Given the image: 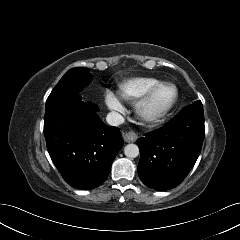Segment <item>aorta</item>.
<instances>
[{
	"instance_id": "762f6f07",
	"label": "aorta",
	"mask_w": 240,
	"mask_h": 240,
	"mask_svg": "<svg viewBox=\"0 0 240 240\" xmlns=\"http://www.w3.org/2000/svg\"><path fill=\"white\" fill-rule=\"evenodd\" d=\"M124 154L129 158H136L139 155V148L136 144H128L124 148Z\"/></svg>"
}]
</instances>
